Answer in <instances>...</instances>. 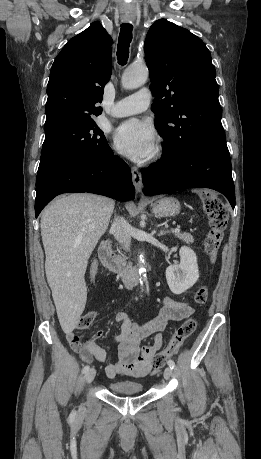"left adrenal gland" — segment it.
<instances>
[{"instance_id":"a2214340","label":"left adrenal gland","mask_w":261,"mask_h":459,"mask_svg":"<svg viewBox=\"0 0 261 459\" xmlns=\"http://www.w3.org/2000/svg\"><path fill=\"white\" fill-rule=\"evenodd\" d=\"M168 233H169V231L160 230V232L158 233V236L160 237V236L166 235V234H168Z\"/></svg>"}]
</instances>
